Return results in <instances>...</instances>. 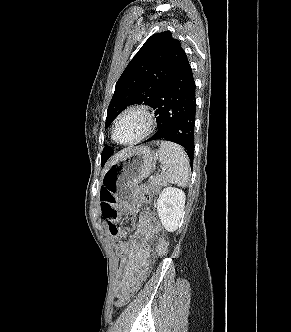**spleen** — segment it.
<instances>
[{
  "label": "spleen",
  "instance_id": "1",
  "mask_svg": "<svg viewBox=\"0 0 291 332\" xmlns=\"http://www.w3.org/2000/svg\"><path fill=\"white\" fill-rule=\"evenodd\" d=\"M159 161L167 168L165 180L185 187L189 180L190 163L185 150L178 144L162 141L159 147Z\"/></svg>",
  "mask_w": 291,
  "mask_h": 332
}]
</instances>
